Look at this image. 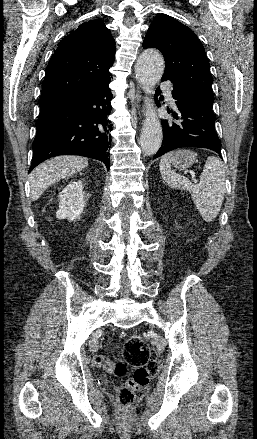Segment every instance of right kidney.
Listing matches in <instances>:
<instances>
[{
  "instance_id": "right-kidney-1",
  "label": "right kidney",
  "mask_w": 257,
  "mask_h": 439,
  "mask_svg": "<svg viewBox=\"0 0 257 439\" xmlns=\"http://www.w3.org/2000/svg\"><path fill=\"white\" fill-rule=\"evenodd\" d=\"M58 219L74 221L79 218L86 206L82 181L70 182L59 194Z\"/></svg>"
}]
</instances>
